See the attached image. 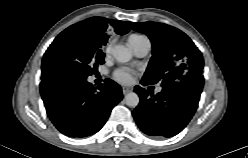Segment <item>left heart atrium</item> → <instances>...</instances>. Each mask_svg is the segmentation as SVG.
<instances>
[{
  "instance_id": "obj_1",
  "label": "left heart atrium",
  "mask_w": 248,
  "mask_h": 158,
  "mask_svg": "<svg viewBox=\"0 0 248 158\" xmlns=\"http://www.w3.org/2000/svg\"><path fill=\"white\" fill-rule=\"evenodd\" d=\"M134 71L127 67H120L116 69L112 76L113 79L121 84H130L134 80Z\"/></svg>"
}]
</instances>
